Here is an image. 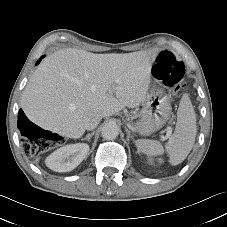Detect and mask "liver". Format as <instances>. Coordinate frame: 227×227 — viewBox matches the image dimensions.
Here are the masks:
<instances>
[{
    "mask_svg": "<svg viewBox=\"0 0 227 227\" xmlns=\"http://www.w3.org/2000/svg\"><path fill=\"white\" fill-rule=\"evenodd\" d=\"M157 52L94 54L59 50L38 66L21 97L30 121L67 138H80L88 114L112 116L147 96Z\"/></svg>",
    "mask_w": 227,
    "mask_h": 227,
    "instance_id": "1",
    "label": "liver"
}]
</instances>
